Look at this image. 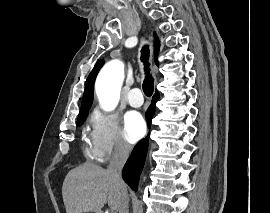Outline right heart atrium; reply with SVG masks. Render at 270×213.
<instances>
[{
	"label": "right heart atrium",
	"instance_id": "right-heart-atrium-1",
	"mask_svg": "<svg viewBox=\"0 0 270 213\" xmlns=\"http://www.w3.org/2000/svg\"><path fill=\"white\" fill-rule=\"evenodd\" d=\"M92 143L97 160L125 157L130 147L122 140L118 117L96 111L92 116Z\"/></svg>",
	"mask_w": 270,
	"mask_h": 213
}]
</instances>
